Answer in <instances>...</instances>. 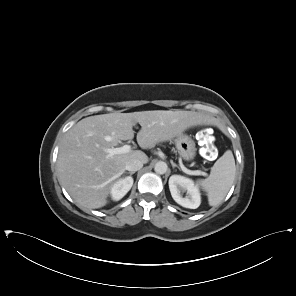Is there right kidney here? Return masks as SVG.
I'll return each instance as SVG.
<instances>
[{
    "label": "right kidney",
    "instance_id": "obj_1",
    "mask_svg": "<svg viewBox=\"0 0 296 296\" xmlns=\"http://www.w3.org/2000/svg\"><path fill=\"white\" fill-rule=\"evenodd\" d=\"M133 182L134 180L132 177H125L115 181L110 188L112 200L119 201L122 199L131 189Z\"/></svg>",
    "mask_w": 296,
    "mask_h": 296
}]
</instances>
